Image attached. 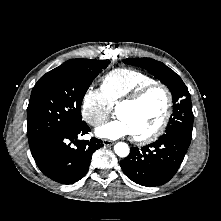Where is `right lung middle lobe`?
I'll use <instances>...</instances> for the list:
<instances>
[{"instance_id":"obj_1","label":"right lung middle lobe","mask_w":221,"mask_h":221,"mask_svg":"<svg viewBox=\"0 0 221 221\" xmlns=\"http://www.w3.org/2000/svg\"><path fill=\"white\" fill-rule=\"evenodd\" d=\"M109 63L107 60L72 59L39 79L27 108L30 148L52 134L83 122L84 95L93 79Z\"/></svg>"}]
</instances>
